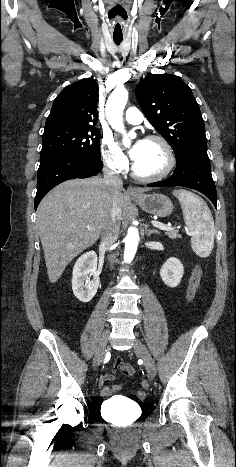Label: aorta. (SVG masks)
<instances>
[{
    "label": "aorta",
    "mask_w": 236,
    "mask_h": 467,
    "mask_svg": "<svg viewBox=\"0 0 236 467\" xmlns=\"http://www.w3.org/2000/svg\"><path fill=\"white\" fill-rule=\"evenodd\" d=\"M128 101V91L124 87H117L109 96L106 103V118L111 127L119 132H124L123 110ZM139 242L138 229L129 227L125 237L124 261L129 263L133 260Z\"/></svg>",
    "instance_id": "obj_1"
}]
</instances>
